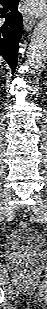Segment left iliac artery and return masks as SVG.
I'll list each match as a JSON object with an SVG mask.
<instances>
[{
	"label": "left iliac artery",
	"instance_id": "left-iliac-artery-1",
	"mask_svg": "<svg viewBox=\"0 0 47 309\" xmlns=\"http://www.w3.org/2000/svg\"><path fill=\"white\" fill-rule=\"evenodd\" d=\"M39 220H45V221H47V213H43V215L42 216H39V217H37L36 218V221H39Z\"/></svg>",
	"mask_w": 47,
	"mask_h": 309
}]
</instances>
